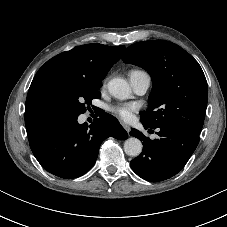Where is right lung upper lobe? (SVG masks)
<instances>
[{
  "instance_id": "obj_1",
  "label": "right lung upper lobe",
  "mask_w": 227,
  "mask_h": 227,
  "mask_svg": "<svg viewBox=\"0 0 227 227\" xmlns=\"http://www.w3.org/2000/svg\"><path fill=\"white\" fill-rule=\"evenodd\" d=\"M124 50V45L86 44L48 60L36 73L28 91L25 104L28 139L61 120L56 102L60 84L78 79L102 80Z\"/></svg>"
}]
</instances>
